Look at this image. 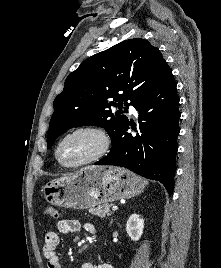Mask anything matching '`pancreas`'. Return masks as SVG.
<instances>
[{"instance_id":"cf45deb5","label":"pancreas","mask_w":221,"mask_h":268,"mask_svg":"<svg viewBox=\"0 0 221 268\" xmlns=\"http://www.w3.org/2000/svg\"><path fill=\"white\" fill-rule=\"evenodd\" d=\"M112 204H103V205H98L97 207H92L89 209V212L93 215H97L101 218H104L106 216H110L112 212L110 211V207Z\"/></svg>"}]
</instances>
